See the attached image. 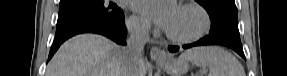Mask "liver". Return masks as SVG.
Masks as SVG:
<instances>
[{
    "label": "liver",
    "mask_w": 287,
    "mask_h": 76,
    "mask_svg": "<svg viewBox=\"0 0 287 76\" xmlns=\"http://www.w3.org/2000/svg\"><path fill=\"white\" fill-rule=\"evenodd\" d=\"M123 47L96 34H80L61 45L47 66L46 76H122ZM148 64L140 69L145 76Z\"/></svg>",
    "instance_id": "obj_1"
}]
</instances>
